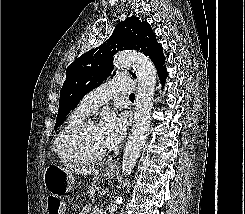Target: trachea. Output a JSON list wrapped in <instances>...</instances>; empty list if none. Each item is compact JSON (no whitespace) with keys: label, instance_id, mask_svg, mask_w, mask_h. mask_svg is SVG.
Segmentation results:
<instances>
[{"label":"trachea","instance_id":"3493384b","mask_svg":"<svg viewBox=\"0 0 245 214\" xmlns=\"http://www.w3.org/2000/svg\"><path fill=\"white\" fill-rule=\"evenodd\" d=\"M129 98H135V95L132 93L129 95Z\"/></svg>","mask_w":245,"mask_h":214}]
</instances>
